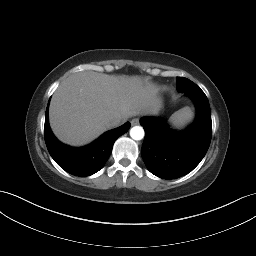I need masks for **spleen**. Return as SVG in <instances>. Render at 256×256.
I'll return each instance as SVG.
<instances>
[{
	"label": "spleen",
	"mask_w": 256,
	"mask_h": 256,
	"mask_svg": "<svg viewBox=\"0 0 256 256\" xmlns=\"http://www.w3.org/2000/svg\"><path fill=\"white\" fill-rule=\"evenodd\" d=\"M192 112L189 107H184L177 113V124H183L187 120H190L192 118Z\"/></svg>",
	"instance_id": "3e777b00"
}]
</instances>
